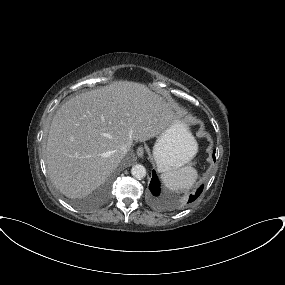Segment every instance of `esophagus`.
I'll use <instances>...</instances> for the list:
<instances>
[{
	"instance_id": "obj_1",
	"label": "esophagus",
	"mask_w": 285,
	"mask_h": 285,
	"mask_svg": "<svg viewBox=\"0 0 285 285\" xmlns=\"http://www.w3.org/2000/svg\"><path fill=\"white\" fill-rule=\"evenodd\" d=\"M137 156L138 157H143L144 155V148L142 146L138 147V149L136 150Z\"/></svg>"
}]
</instances>
